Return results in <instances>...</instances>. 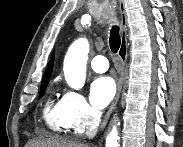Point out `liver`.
I'll return each instance as SVG.
<instances>
[{"mask_svg": "<svg viewBox=\"0 0 183 147\" xmlns=\"http://www.w3.org/2000/svg\"><path fill=\"white\" fill-rule=\"evenodd\" d=\"M26 147H87L79 142L56 137H40L26 144Z\"/></svg>", "mask_w": 183, "mask_h": 147, "instance_id": "6515ba94", "label": "liver"}]
</instances>
